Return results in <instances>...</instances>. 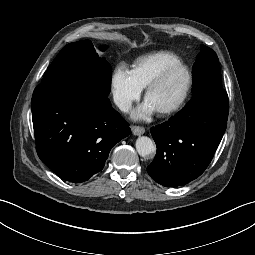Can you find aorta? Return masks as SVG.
I'll return each instance as SVG.
<instances>
[{
	"instance_id": "1",
	"label": "aorta",
	"mask_w": 255,
	"mask_h": 255,
	"mask_svg": "<svg viewBox=\"0 0 255 255\" xmlns=\"http://www.w3.org/2000/svg\"><path fill=\"white\" fill-rule=\"evenodd\" d=\"M135 146L137 152L142 157L153 155L156 152V146L154 142L147 136L139 137L136 140Z\"/></svg>"
}]
</instances>
